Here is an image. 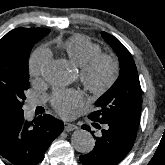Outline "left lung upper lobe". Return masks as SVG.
Wrapping results in <instances>:
<instances>
[{"label": "left lung upper lobe", "mask_w": 165, "mask_h": 165, "mask_svg": "<svg viewBox=\"0 0 165 165\" xmlns=\"http://www.w3.org/2000/svg\"><path fill=\"white\" fill-rule=\"evenodd\" d=\"M102 37L119 58L120 75L113 86L96 101L97 111L88 117L96 122L113 123L137 131L141 112V87L134 60L117 38L106 32H102Z\"/></svg>", "instance_id": "5c2ea615"}]
</instances>
